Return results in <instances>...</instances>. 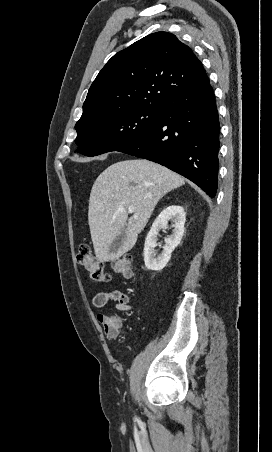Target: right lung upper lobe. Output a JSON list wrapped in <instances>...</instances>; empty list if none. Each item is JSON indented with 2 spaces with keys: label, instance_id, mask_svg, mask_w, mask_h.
Masks as SVG:
<instances>
[{
  "label": "right lung upper lobe",
  "instance_id": "right-lung-upper-lobe-1",
  "mask_svg": "<svg viewBox=\"0 0 272 452\" xmlns=\"http://www.w3.org/2000/svg\"><path fill=\"white\" fill-rule=\"evenodd\" d=\"M208 81L187 45L171 33H153L107 62L89 89L79 121L135 107L164 108Z\"/></svg>",
  "mask_w": 272,
  "mask_h": 452
}]
</instances>
